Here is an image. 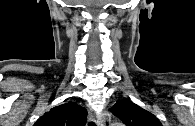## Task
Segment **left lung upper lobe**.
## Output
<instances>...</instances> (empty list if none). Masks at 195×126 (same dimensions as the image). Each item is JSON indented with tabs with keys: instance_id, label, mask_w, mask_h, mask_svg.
I'll return each instance as SVG.
<instances>
[{
	"instance_id": "obj_1",
	"label": "left lung upper lobe",
	"mask_w": 195,
	"mask_h": 126,
	"mask_svg": "<svg viewBox=\"0 0 195 126\" xmlns=\"http://www.w3.org/2000/svg\"><path fill=\"white\" fill-rule=\"evenodd\" d=\"M110 111L120 118L126 126H162L150 112L144 110L129 99L117 101Z\"/></svg>"
}]
</instances>
